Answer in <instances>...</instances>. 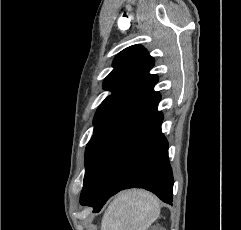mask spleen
I'll return each mask as SVG.
<instances>
[{
    "instance_id": "obj_1",
    "label": "spleen",
    "mask_w": 241,
    "mask_h": 230,
    "mask_svg": "<svg viewBox=\"0 0 241 230\" xmlns=\"http://www.w3.org/2000/svg\"><path fill=\"white\" fill-rule=\"evenodd\" d=\"M160 214L158 198L144 190L119 193L108 206L101 230H147Z\"/></svg>"
}]
</instances>
